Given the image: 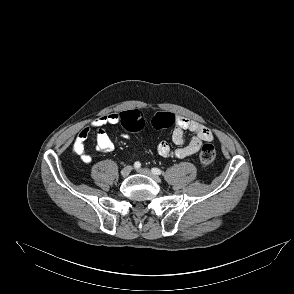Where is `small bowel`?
<instances>
[{"label": "small bowel", "mask_w": 294, "mask_h": 294, "mask_svg": "<svg viewBox=\"0 0 294 294\" xmlns=\"http://www.w3.org/2000/svg\"><path fill=\"white\" fill-rule=\"evenodd\" d=\"M118 123H120V114L108 113L98 117L90 126L83 128L79 132L74 143V151L84 163L89 164L92 161L91 155L85 152L84 147L91 129L96 130V149L107 153L114 149V144L104 130V127ZM188 131L193 133L194 136L186 143L185 133ZM122 137L128 139L129 135L124 133ZM212 139V132L203 124L180 115H175L172 141L177 147L172 148L166 141H161L158 143L156 151L164 158L182 159L196 154L204 142H210Z\"/></svg>", "instance_id": "small-bowel-1"}]
</instances>
